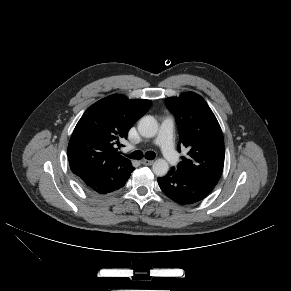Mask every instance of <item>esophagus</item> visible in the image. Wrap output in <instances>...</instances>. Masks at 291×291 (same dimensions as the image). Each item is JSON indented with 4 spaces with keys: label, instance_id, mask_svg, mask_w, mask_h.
I'll use <instances>...</instances> for the list:
<instances>
[{
    "label": "esophagus",
    "instance_id": "esophagus-1",
    "mask_svg": "<svg viewBox=\"0 0 291 291\" xmlns=\"http://www.w3.org/2000/svg\"><path fill=\"white\" fill-rule=\"evenodd\" d=\"M141 163H142L143 165H152V164H153V161H152V160L143 159V160L141 161Z\"/></svg>",
    "mask_w": 291,
    "mask_h": 291
}]
</instances>
